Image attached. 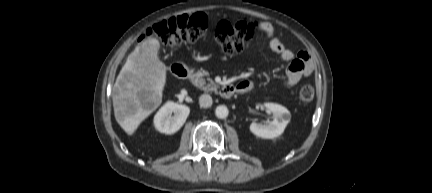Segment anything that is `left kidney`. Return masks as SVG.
Returning a JSON list of instances; mask_svg holds the SVG:
<instances>
[{
    "instance_id": "5707ae66",
    "label": "left kidney",
    "mask_w": 432,
    "mask_h": 193,
    "mask_svg": "<svg viewBox=\"0 0 432 193\" xmlns=\"http://www.w3.org/2000/svg\"><path fill=\"white\" fill-rule=\"evenodd\" d=\"M264 106L273 114V121L267 124L251 123L250 131L261 138L273 139L280 136L290 122L291 114L287 108L275 103H265Z\"/></svg>"
}]
</instances>
